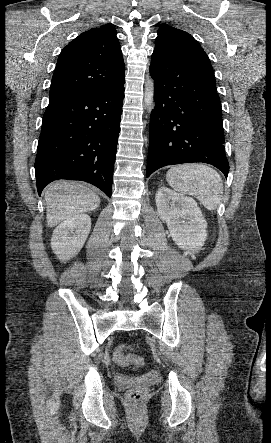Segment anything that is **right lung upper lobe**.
<instances>
[{
    "label": "right lung upper lobe",
    "mask_w": 271,
    "mask_h": 443,
    "mask_svg": "<svg viewBox=\"0 0 271 443\" xmlns=\"http://www.w3.org/2000/svg\"><path fill=\"white\" fill-rule=\"evenodd\" d=\"M116 30L92 28L60 53L51 81L50 98L116 87L125 82V67Z\"/></svg>",
    "instance_id": "right-lung-upper-lobe-1"
}]
</instances>
